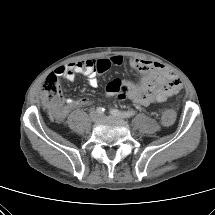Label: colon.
<instances>
[{
	"label": "colon",
	"instance_id": "colon-1",
	"mask_svg": "<svg viewBox=\"0 0 215 215\" xmlns=\"http://www.w3.org/2000/svg\"><path fill=\"white\" fill-rule=\"evenodd\" d=\"M42 100L49 110L54 114L59 115L62 111L61 101H62V90L57 78L54 73L49 74L45 79L42 91ZM175 120V114L171 110H166L162 114V123L166 126L173 124Z\"/></svg>",
	"mask_w": 215,
	"mask_h": 215
}]
</instances>
